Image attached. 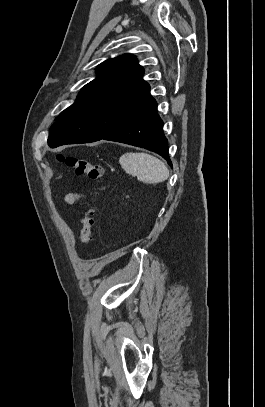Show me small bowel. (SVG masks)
Returning <instances> with one entry per match:
<instances>
[{"mask_svg": "<svg viewBox=\"0 0 265 407\" xmlns=\"http://www.w3.org/2000/svg\"><path fill=\"white\" fill-rule=\"evenodd\" d=\"M81 198V196L79 194L76 193H70L67 194L64 198L65 202L67 204L73 205L75 204L77 201H79V199Z\"/></svg>", "mask_w": 265, "mask_h": 407, "instance_id": "1", "label": "small bowel"}]
</instances>
